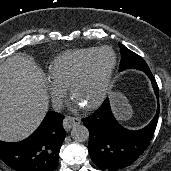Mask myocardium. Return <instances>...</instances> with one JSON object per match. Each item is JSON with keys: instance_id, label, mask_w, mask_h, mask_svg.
<instances>
[{"instance_id": "1", "label": "myocardium", "mask_w": 171, "mask_h": 171, "mask_svg": "<svg viewBox=\"0 0 171 171\" xmlns=\"http://www.w3.org/2000/svg\"><path fill=\"white\" fill-rule=\"evenodd\" d=\"M104 50H109L112 53L113 63H112L110 69L108 70V72L104 78V83H103V87H102L100 95L92 103L85 106V108L88 110H91V109L98 107L100 104L103 103V101L106 99V97L108 95L110 85H111V81H112V77L114 75V72H115V69L117 66V55H116L115 51L109 46H101L99 48H96L95 51L85 60V62L82 64V66L75 73V75L71 79L69 86H68L69 92L72 95L74 88L80 82V80L85 76V74L87 73V71H88L93 59L95 58V56Z\"/></svg>"}]
</instances>
